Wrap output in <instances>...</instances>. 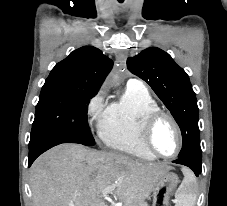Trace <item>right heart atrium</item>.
<instances>
[{"label": "right heart atrium", "mask_w": 227, "mask_h": 206, "mask_svg": "<svg viewBox=\"0 0 227 206\" xmlns=\"http://www.w3.org/2000/svg\"><path fill=\"white\" fill-rule=\"evenodd\" d=\"M107 111L106 92L98 91L89 101L86 109L87 121L90 126L100 128Z\"/></svg>", "instance_id": "obj_1"}]
</instances>
